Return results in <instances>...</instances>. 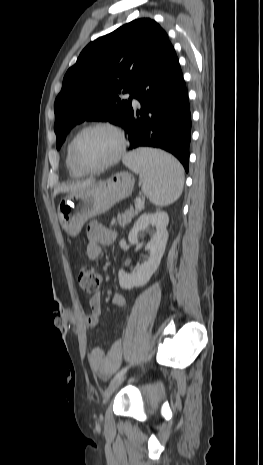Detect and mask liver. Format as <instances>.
I'll return each instance as SVG.
<instances>
[{
	"label": "liver",
	"instance_id": "obj_1",
	"mask_svg": "<svg viewBox=\"0 0 263 465\" xmlns=\"http://www.w3.org/2000/svg\"><path fill=\"white\" fill-rule=\"evenodd\" d=\"M95 183L94 180L88 179L82 182L73 183L70 185H63L54 190L53 196L55 197L60 192H77L89 185Z\"/></svg>",
	"mask_w": 263,
	"mask_h": 465
}]
</instances>
